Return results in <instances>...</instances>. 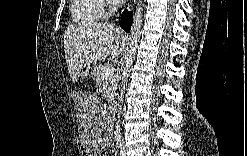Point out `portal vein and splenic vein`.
Wrapping results in <instances>:
<instances>
[{"mask_svg":"<svg viewBox=\"0 0 247 156\" xmlns=\"http://www.w3.org/2000/svg\"><path fill=\"white\" fill-rule=\"evenodd\" d=\"M114 72H115V69L112 66L105 69V75L107 77L114 75Z\"/></svg>","mask_w":247,"mask_h":156,"instance_id":"18ae733b","label":"portal vein and splenic vein"}]
</instances>
